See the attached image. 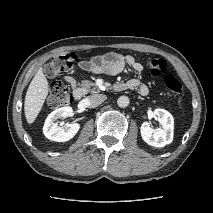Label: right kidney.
<instances>
[{"mask_svg": "<svg viewBox=\"0 0 213 213\" xmlns=\"http://www.w3.org/2000/svg\"><path fill=\"white\" fill-rule=\"evenodd\" d=\"M73 110L71 107H61L51 112L43 127V133L49 140L56 142H65L72 139L80 129L78 123L69 124L65 127H59L55 122L59 118L72 116Z\"/></svg>", "mask_w": 213, "mask_h": 213, "instance_id": "obj_1", "label": "right kidney"}]
</instances>
